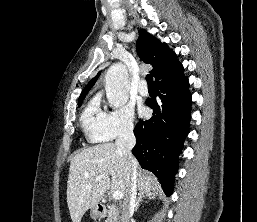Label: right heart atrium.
<instances>
[{
	"instance_id": "obj_1",
	"label": "right heart atrium",
	"mask_w": 257,
	"mask_h": 222,
	"mask_svg": "<svg viewBox=\"0 0 257 222\" xmlns=\"http://www.w3.org/2000/svg\"><path fill=\"white\" fill-rule=\"evenodd\" d=\"M114 116H121L124 120L119 128H113L108 124L109 115L104 114L101 122L98 139L101 141L113 140L118 137L128 136L135 128V115L130 106L117 108L113 112Z\"/></svg>"
}]
</instances>
